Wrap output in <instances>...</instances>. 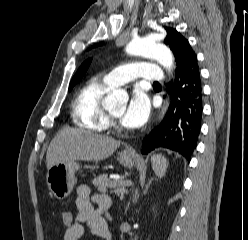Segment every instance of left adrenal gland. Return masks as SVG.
I'll return each instance as SVG.
<instances>
[{
    "mask_svg": "<svg viewBox=\"0 0 248 240\" xmlns=\"http://www.w3.org/2000/svg\"><path fill=\"white\" fill-rule=\"evenodd\" d=\"M151 184V181H149V183L146 185L144 191H143V195L146 194V191L148 190V187L149 185ZM138 198H139V194H138V189L135 191V194H134V203H137L138 201Z\"/></svg>",
    "mask_w": 248,
    "mask_h": 240,
    "instance_id": "1",
    "label": "left adrenal gland"
}]
</instances>
